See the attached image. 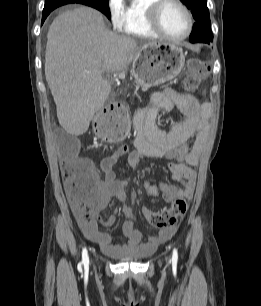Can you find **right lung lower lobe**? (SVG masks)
Returning <instances> with one entry per match:
<instances>
[{
    "mask_svg": "<svg viewBox=\"0 0 261 306\" xmlns=\"http://www.w3.org/2000/svg\"><path fill=\"white\" fill-rule=\"evenodd\" d=\"M51 11H43L42 13V24L45 21L46 17L50 14Z\"/></svg>",
    "mask_w": 261,
    "mask_h": 306,
    "instance_id": "obj_1",
    "label": "right lung lower lobe"
}]
</instances>
